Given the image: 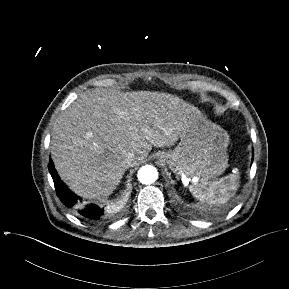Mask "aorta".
I'll list each match as a JSON object with an SVG mask.
<instances>
[{
	"mask_svg": "<svg viewBox=\"0 0 289 289\" xmlns=\"http://www.w3.org/2000/svg\"><path fill=\"white\" fill-rule=\"evenodd\" d=\"M137 177L142 184H151L157 180L158 171L151 165H145L138 170Z\"/></svg>",
	"mask_w": 289,
	"mask_h": 289,
	"instance_id": "aorta-1",
	"label": "aorta"
}]
</instances>
